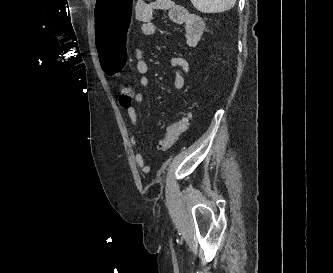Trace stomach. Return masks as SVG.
<instances>
[{
    "label": "stomach",
    "instance_id": "1",
    "mask_svg": "<svg viewBox=\"0 0 333 273\" xmlns=\"http://www.w3.org/2000/svg\"><path fill=\"white\" fill-rule=\"evenodd\" d=\"M95 38H128L135 23L134 0H94ZM127 39H96L95 54L103 75H122L129 65Z\"/></svg>",
    "mask_w": 333,
    "mask_h": 273
}]
</instances>
